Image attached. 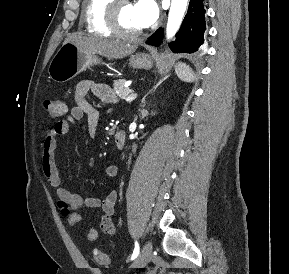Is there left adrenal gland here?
Segmentation results:
<instances>
[{
    "label": "left adrenal gland",
    "instance_id": "a2214340",
    "mask_svg": "<svg viewBox=\"0 0 289 274\" xmlns=\"http://www.w3.org/2000/svg\"><path fill=\"white\" fill-rule=\"evenodd\" d=\"M142 103H144V104H145V98L143 99ZM143 106H144V105H143Z\"/></svg>",
    "mask_w": 289,
    "mask_h": 274
}]
</instances>
